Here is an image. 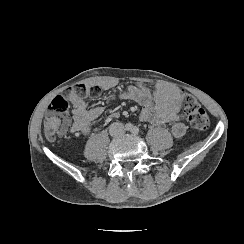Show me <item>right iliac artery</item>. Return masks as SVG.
Masks as SVG:
<instances>
[{
	"label": "right iliac artery",
	"mask_w": 244,
	"mask_h": 244,
	"mask_svg": "<svg viewBox=\"0 0 244 244\" xmlns=\"http://www.w3.org/2000/svg\"><path fill=\"white\" fill-rule=\"evenodd\" d=\"M125 128H126V130L129 131V130H132L133 127H132V124L128 123L125 125Z\"/></svg>",
	"instance_id": "82829eb1"
}]
</instances>
